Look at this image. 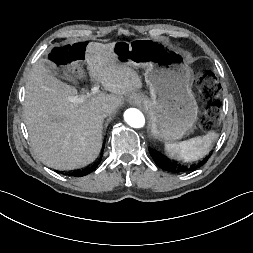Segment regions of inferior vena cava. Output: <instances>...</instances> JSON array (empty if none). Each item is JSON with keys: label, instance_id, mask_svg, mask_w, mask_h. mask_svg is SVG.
Listing matches in <instances>:
<instances>
[{"label": "inferior vena cava", "instance_id": "inferior-vena-cava-1", "mask_svg": "<svg viewBox=\"0 0 253 253\" xmlns=\"http://www.w3.org/2000/svg\"><path fill=\"white\" fill-rule=\"evenodd\" d=\"M115 109H116V107L111 104H104L102 107V110L106 115L112 114L115 111Z\"/></svg>", "mask_w": 253, "mask_h": 253}]
</instances>
